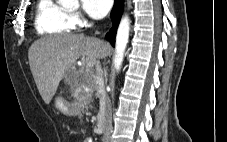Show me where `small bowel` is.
<instances>
[{"label":"small bowel","instance_id":"c3829d8e","mask_svg":"<svg viewBox=\"0 0 227 142\" xmlns=\"http://www.w3.org/2000/svg\"><path fill=\"white\" fill-rule=\"evenodd\" d=\"M83 142H93V140L91 138H86Z\"/></svg>","mask_w":227,"mask_h":142}]
</instances>
